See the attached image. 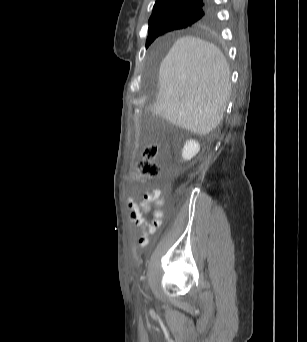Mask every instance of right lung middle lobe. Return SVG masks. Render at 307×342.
Segmentation results:
<instances>
[{"label": "right lung middle lobe", "mask_w": 307, "mask_h": 342, "mask_svg": "<svg viewBox=\"0 0 307 342\" xmlns=\"http://www.w3.org/2000/svg\"><path fill=\"white\" fill-rule=\"evenodd\" d=\"M203 10L184 9L166 11L159 14L154 23L149 25L146 47H148L158 36L163 33L185 28L196 22L203 14Z\"/></svg>", "instance_id": "dd1d6c3e"}]
</instances>
